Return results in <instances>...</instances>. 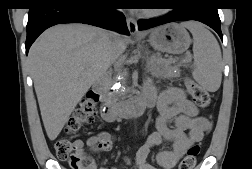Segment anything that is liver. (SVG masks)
<instances>
[{
	"instance_id": "1",
	"label": "liver",
	"mask_w": 252,
	"mask_h": 169,
	"mask_svg": "<svg viewBox=\"0 0 252 169\" xmlns=\"http://www.w3.org/2000/svg\"><path fill=\"white\" fill-rule=\"evenodd\" d=\"M110 34L90 25L60 24L44 31L31 46L30 71L50 140L57 138L89 88L113 64ZM120 39L121 55L127 39Z\"/></svg>"
}]
</instances>
